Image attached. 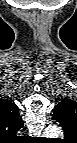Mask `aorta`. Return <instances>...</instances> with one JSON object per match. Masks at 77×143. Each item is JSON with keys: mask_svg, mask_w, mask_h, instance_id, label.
<instances>
[{"mask_svg": "<svg viewBox=\"0 0 77 143\" xmlns=\"http://www.w3.org/2000/svg\"><path fill=\"white\" fill-rule=\"evenodd\" d=\"M46 135H57L61 133L60 127L56 125H50L44 132Z\"/></svg>", "mask_w": 77, "mask_h": 143, "instance_id": "762f6f07", "label": "aorta"}]
</instances>
